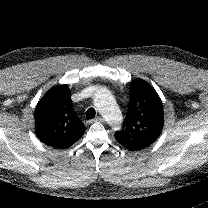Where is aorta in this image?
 Instances as JSON below:
<instances>
[{
  "label": "aorta",
  "instance_id": "762f6f07",
  "mask_svg": "<svg viewBox=\"0 0 208 208\" xmlns=\"http://www.w3.org/2000/svg\"><path fill=\"white\" fill-rule=\"evenodd\" d=\"M94 104L110 125L119 127L122 114L113 95L107 88L100 87L96 90Z\"/></svg>",
  "mask_w": 208,
  "mask_h": 208
}]
</instances>
